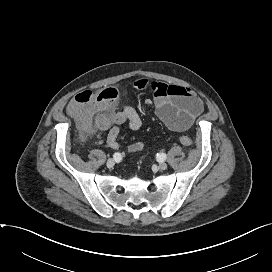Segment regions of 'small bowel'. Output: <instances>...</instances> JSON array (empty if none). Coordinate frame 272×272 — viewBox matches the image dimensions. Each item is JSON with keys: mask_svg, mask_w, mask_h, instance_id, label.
I'll list each match as a JSON object with an SVG mask.
<instances>
[{"mask_svg": "<svg viewBox=\"0 0 272 272\" xmlns=\"http://www.w3.org/2000/svg\"><path fill=\"white\" fill-rule=\"evenodd\" d=\"M134 88L153 93L156 115L172 131L188 130L204 111L203 101L189 88L147 79L135 81ZM123 124L133 131L142 125L139 114L130 106H124L120 112L107 116L98 126L100 130H108L107 143L112 149L119 148L118 137ZM142 148L141 142H134L129 146V151L137 152Z\"/></svg>", "mask_w": 272, "mask_h": 272, "instance_id": "obj_1", "label": "small bowel"}]
</instances>
